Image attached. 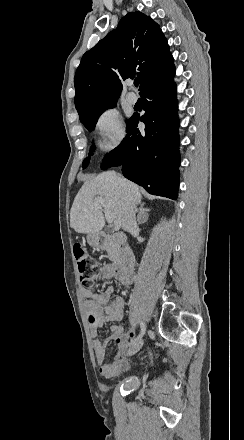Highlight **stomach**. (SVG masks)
Masks as SVG:
<instances>
[{"instance_id":"obj_1","label":"stomach","mask_w":244,"mask_h":440,"mask_svg":"<svg viewBox=\"0 0 244 440\" xmlns=\"http://www.w3.org/2000/svg\"><path fill=\"white\" fill-rule=\"evenodd\" d=\"M86 238L89 246H92V248H101L99 232H96V234H87Z\"/></svg>"}]
</instances>
